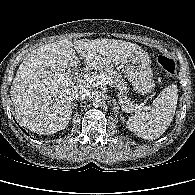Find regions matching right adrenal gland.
I'll list each match as a JSON object with an SVG mask.
<instances>
[{"mask_svg":"<svg viewBox=\"0 0 195 195\" xmlns=\"http://www.w3.org/2000/svg\"><path fill=\"white\" fill-rule=\"evenodd\" d=\"M77 106L76 103L72 104V110Z\"/></svg>","mask_w":195,"mask_h":195,"instance_id":"2a0ac1e0","label":"right adrenal gland"}]
</instances>
